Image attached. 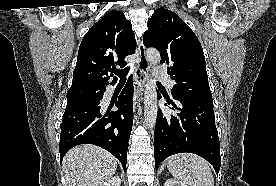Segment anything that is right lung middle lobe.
Masks as SVG:
<instances>
[{
	"instance_id": "dd1d6c3e",
	"label": "right lung middle lobe",
	"mask_w": 276,
	"mask_h": 186,
	"mask_svg": "<svg viewBox=\"0 0 276 186\" xmlns=\"http://www.w3.org/2000/svg\"><path fill=\"white\" fill-rule=\"evenodd\" d=\"M106 87L83 86L69 89L67 92V105H76L84 102L96 100L103 96Z\"/></svg>"
}]
</instances>
